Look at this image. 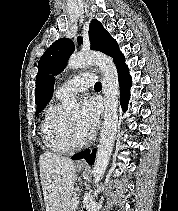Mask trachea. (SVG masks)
Returning a JSON list of instances; mask_svg holds the SVG:
<instances>
[{"mask_svg":"<svg viewBox=\"0 0 178 211\" xmlns=\"http://www.w3.org/2000/svg\"><path fill=\"white\" fill-rule=\"evenodd\" d=\"M94 89L95 90H100L101 89V82H97L95 85H94Z\"/></svg>","mask_w":178,"mask_h":211,"instance_id":"trachea-1","label":"trachea"}]
</instances>
